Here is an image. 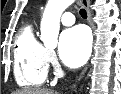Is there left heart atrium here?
Instances as JSON below:
<instances>
[{"instance_id": "left-heart-atrium-1", "label": "left heart atrium", "mask_w": 121, "mask_h": 94, "mask_svg": "<svg viewBox=\"0 0 121 94\" xmlns=\"http://www.w3.org/2000/svg\"><path fill=\"white\" fill-rule=\"evenodd\" d=\"M91 51L89 32L83 26L65 30L60 37L59 54L61 60L70 67H80L88 59Z\"/></svg>"}]
</instances>
